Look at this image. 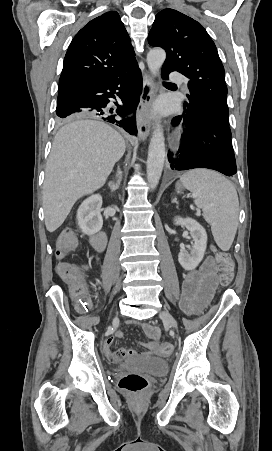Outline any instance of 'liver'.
<instances>
[{"label":"liver","mask_w":272,"mask_h":451,"mask_svg":"<svg viewBox=\"0 0 272 451\" xmlns=\"http://www.w3.org/2000/svg\"><path fill=\"white\" fill-rule=\"evenodd\" d=\"M125 140L104 122L75 118L57 132L43 184L45 226H62L75 202L104 186L125 152Z\"/></svg>","instance_id":"6515ba94"}]
</instances>
